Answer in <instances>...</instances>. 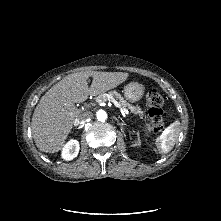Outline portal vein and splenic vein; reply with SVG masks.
Returning a JSON list of instances; mask_svg holds the SVG:
<instances>
[{
	"label": "portal vein and splenic vein",
	"instance_id": "portal-vein-and-splenic-vein-1",
	"mask_svg": "<svg viewBox=\"0 0 221 221\" xmlns=\"http://www.w3.org/2000/svg\"><path fill=\"white\" fill-rule=\"evenodd\" d=\"M107 100L112 102L117 108H119L123 116L129 115V111L126 108L122 107L119 104V102H117L112 96L107 95V96H104L102 99L97 98L96 103H101L102 101H107Z\"/></svg>",
	"mask_w": 221,
	"mask_h": 221
}]
</instances>
